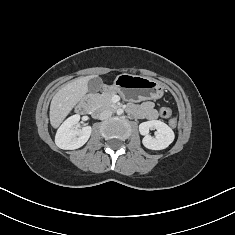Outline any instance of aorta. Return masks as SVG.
<instances>
[{"label":"aorta","instance_id":"762f6f07","mask_svg":"<svg viewBox=\"0 0 235 235\" xmlns=\"http://www.w3.org/2000/svg\"><path fill=\"white\" fill-rule=\"evenodd\" d=\"M123 113V109H118L117 110V115H121Z\"/></svg>","mask_w":235,"mask_h":235}]
</instances>
